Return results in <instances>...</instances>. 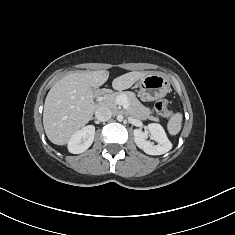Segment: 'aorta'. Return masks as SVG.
Here are the masks:
<instances>
[{
    "label": "aorta",
    "mask_w": 235,
    "mask_h": 235,
    "mask_svg": "<svg viewBox=\"0 0 235 235\" xmlns=\"http://www.w3.org/2000/svg\"><path fill=\"white\" fill-rule=\"evenodd\" d=\"M117 120H118V121H123V115L119 114V115L117 116Z\"/></svg>",
    "instance_id": "1"
}]
</instances>
